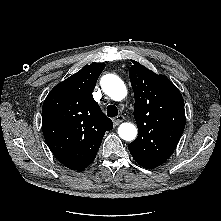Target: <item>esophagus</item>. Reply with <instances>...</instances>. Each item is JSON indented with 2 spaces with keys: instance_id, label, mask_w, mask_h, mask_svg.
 I'll list each match as a JSON object with an SVG mask.
<instances>
[{
  "instance_id": "34e87169",
  "label": "esophagus",
  "mask_w": 221,
  "mask_h": 221,
  "mask_svg": "<svg viewBox=\"0 0 221 221\" xmlns=\"http://www.w3.org/2000/svg\"><path fill=\"white\" fill-rule=\"evenodd\" d=\"M124 116L123 115H118L116 118L113 119V124L114 126H118L121 122L124 121Z\"/></svg>"
}]
</instances>
